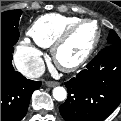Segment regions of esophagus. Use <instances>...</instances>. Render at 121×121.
I'll list each match as a JSON object with an SVG mask.
<instances>
[{"instance_id":"1","label":"esophagus","mask_w":121,"mask_h":121,"mask_svg":"<svg viewBox=\"0 0 121 121\" xmlns=\"http://www.w3.org/2000/svg\"><path fill=\"white\" fill-rule=\"evenodd\" d=\"M45 84H46V86H48V87H55V86H57L59 83L56 82V81H47Z\"/></svg>"}]
</instances>
